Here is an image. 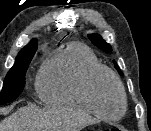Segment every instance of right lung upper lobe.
Listing matches in <instances>:
<instances>
[{"instance_id": "obj_1", "label": "right lung upper lobe", "mask_w": 151, "mask_h": 131, "mask_svg": "<svg viewBox=\"0 0 151 131\" xmlns=\"http://www.w3.org/2000/svg\"><path fill=\"white\" fill-rule=\"evenodd\" d=\"M35 44H38L37 43V40L36 39H33L27 46H25V47H30V46H33V45H35Z\"/></svg>"}]
</instances>
